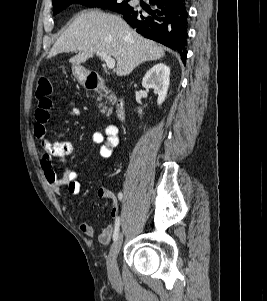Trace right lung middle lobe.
<instances>
[{"label": "right lung middle lobe", "instance_id": "dd1d6c3e", "mask_svg": "<svg viewBox=\"0 0 267 301\" xmlns=\"http://www.w3.org/2000/svg\"><path fill=\"white\" fill-rule=\"evenodd\" d=\"M73 3H81L87 7H97L117 12L124 10L130 5L127 1L118 2V0H53V13L57 14Z\"/></svg>", "mask_w": 267, "mask_h": 301}]
</instances>
